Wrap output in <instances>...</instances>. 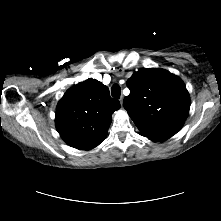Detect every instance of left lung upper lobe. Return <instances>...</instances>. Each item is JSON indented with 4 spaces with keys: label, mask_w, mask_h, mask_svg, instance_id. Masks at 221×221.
<instances>
[{
    "label": "left lung upper lobe",
    "mask_w": 221,
    "mask_h": 221,
    "mask_svg": "<svg viewBox=\"0 0 221 221\" xmlns=\"http://www.w3.org/2000/svg\"><path fill=\"white\" fill-rule=\"evenodd\" d=\"M130 94L123 106L142 136L164 141L183 126L190 97L183 81L159 68H143L127 81Z\"/></svg>",
    "instance_id": "5c2ea615"
}]
</instances>
